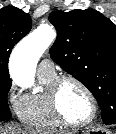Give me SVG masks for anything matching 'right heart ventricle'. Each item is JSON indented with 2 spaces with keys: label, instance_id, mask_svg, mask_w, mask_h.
Listing matches in <instances>:
<instances>
[{
  "label": "right heart ventricle",
  "instance_id": "1",
  "mask_svg": "<svg viewBox=\"0 0 116 134\" xmlns=\"http://www.w3.org/2000/svg\"><path fill=\"white\" fill-rule=\"evenodd\" d=\"M38 78L46 88L40 93L25 95L23 104L18 112L19 116L25 123L36 128L57 129L61 124L54 117L48 100V88L56 78V74L38 73Z\"/></svg>",
  "mask_w": 116,
  "mask_h": 134
}]
</instances>
